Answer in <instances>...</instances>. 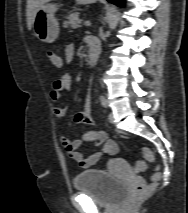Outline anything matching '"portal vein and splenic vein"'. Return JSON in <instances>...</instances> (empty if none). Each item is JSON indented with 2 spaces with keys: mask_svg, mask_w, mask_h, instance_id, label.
Here are the masks:
<instances>
[{
  "mask_svg": "<svg viewBox=\"0 0 188 213\" xmlns=\"http://www.w3.org/2000/svg\"><path fill=\"white\" fill-rule=\"evenodd\" d=\"M90 21H88V20H86L85 22H84V26H90Z\"/></svg>",
  "mask_w": 188,
  "mask_h": 213,
  "instance_id": "obj_1",
  "label": "portal vein and splenic vein"
}]
</instances>
